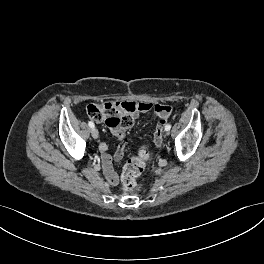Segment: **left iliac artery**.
I'll list each match as a JSON object with an SVG mask.
<instances>
[{"label": "left iliac artery", "instance_id": "1", "mask_svg": "<svg viewBox=\"0 0 264 264\" xmlns=\"http://www.w3.org/2000/svg\"><path fill=\"white\" fill-rule=\"evenodd\" d=\"M171 129V125L170 124H167L166 126H165V130L166 131H169Z\"/></svg>", "mask_w": 264, "mask_h": 264}]
</instances>
